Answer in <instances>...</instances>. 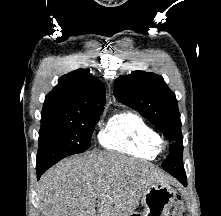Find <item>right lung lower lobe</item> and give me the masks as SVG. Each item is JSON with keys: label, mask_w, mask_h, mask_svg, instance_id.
Here are the masks:
<instances>
[{"label": "right lung lower lobe", "mask_w": 221, "mask_h": 216, "mask_svg": "<svg viewBox=\"0 0 221 216\" xmlns=\"http://www.w3.org/2000/svg\"><path fill=\"white\" fill-rule=\"evenodd\" d=\"M51 166L46 165V166H37L36 167V172H37V178L39 179L40 176Z\"/></svg>", "instance_id": "98d812e1"}]
</instances>
